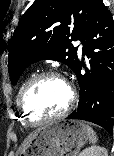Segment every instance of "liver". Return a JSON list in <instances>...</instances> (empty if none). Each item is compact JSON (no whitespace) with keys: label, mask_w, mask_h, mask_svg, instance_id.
I'll use <instances>...</instances> for the list:
<instances>
[{"label":"liver","mask_w":114,"mask_h":156,"mask_svg":"<svg viewBox=\"0 0 114 156\" xmlns=\"http://www.w3.org/2000/svg\"><path fill=\"white\" fill-rule=\"evenodd\" d=\"M36 132H37V131H36ZM36 132L31 133V134L24 140V142L21 144V146H20V148H19V154H22V153L26 150L28 144L30 143L31 139L34 137V135L36 134Z\"/></svg>","instance_id":"1"}]
</instances>
